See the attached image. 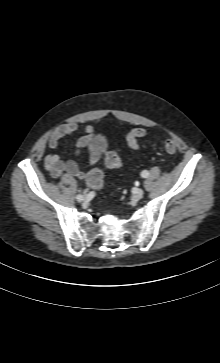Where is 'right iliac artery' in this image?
I'll use <instances>...</instances> for the list:
<instances>
[{"label":"right iliac artery","instance_id":"82829eb1","mask_svg":"<svg viewBox=\"0 0 220 363\" xmlns=\"http://www.w3.org/2000/svg\"><path fill=\"white\" fill-rule=\"evenodd\" d=\"M76 199H77L78 201H82V200H83V196H82V195H78V196L76 197Z\"/></svg>","mask_w":220,"mask_h":363}]
</instances>
